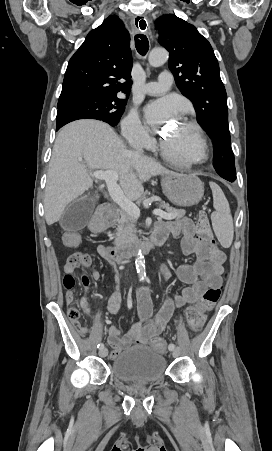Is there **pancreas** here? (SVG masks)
I'll return each mask as SVG.
<instances>
[{
  "instance_id": "obj_1",
  "label": "pancreas",
  "mask_w": 272,
  "mask_h": 451,
  "mask_svg": "<svg viewBox=\"0 0 272 451\" xmlns=\"http://www.w3.org/2000/svg\"><path fill=\"white\" fill-rule=\"evenodd\" d=\"M159 208H164L167 214H174L176 218H184L186 214L185 210H175V208H171V206H169V204H165V202H161V204H159ZM116 226L115 239L113 241L116 247H127L130 243L138 241L135 220H133L132 216H129V214H125V212H123Z\"/></svg>"
}]
</instances>
